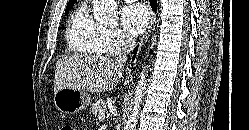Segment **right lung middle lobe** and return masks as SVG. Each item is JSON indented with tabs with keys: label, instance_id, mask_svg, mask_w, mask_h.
I'll return each instance as SVG.
<instances>
[{
	"label": "right lung middle lobe",
	"instance_id": "right-lung-middle-lobe-1",
	"mask_svg": "<svg viewBox=\"0 0 249 130\" xmlns=\"http://www.w3.org/2000/svg\"><path fill=\"white\" fill-rule=\"evenodd\" d=\"M73 5L74 4L67 5V7L65 9V12H68L73 7Z\"/></svg>",
	"mask_w": 249,
	"mask_h": 130
}]
</instances>
